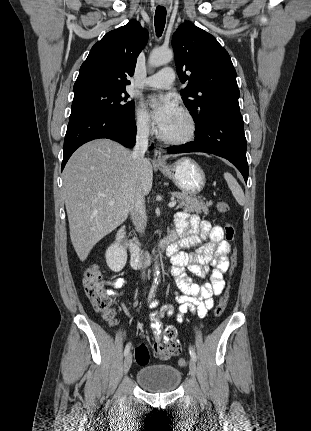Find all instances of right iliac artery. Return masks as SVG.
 Returning a JSON list of instances; mask_svg holds the SVG:
<instances>
[{
    "label": "right iliac artery",
    "instance_id": "obj_1",
    "mask_svg": "<svg viewBox=\"0 0 311 431\" xmlns=\"http://www.w3.org/2000/svg\"><path fill=\"white\" fill-rule=\"evenodd\" d=\"M156 287H157V285H156V284H153V285H152L151 290H150V293H149V296H148V299H149V300H150V299H152V298L154 297V295H155V291H156ZM130 348H131V345H130V343H128V344L126 345V347H125V350H124V355H125V356L129 353Z\"/></svg>",
    "mask_w": 311,
    "mask_h": 431
}]
</instances>
